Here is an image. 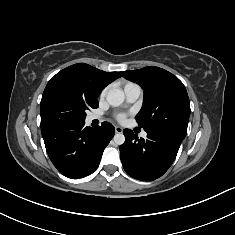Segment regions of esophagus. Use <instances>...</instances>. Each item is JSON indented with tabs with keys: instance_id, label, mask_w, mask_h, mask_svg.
<instances>
[{
	"instance_id": "esophagus-1",
	"label": "esophagus",
	"mask_w": 235,
	"mask_h": 235,
	"mask_svg": "<svg viewBox=\"0 0 235 235\" xmlns=\"http://www.w3.org/2000/svg\"><path fill=\"white\" fill-rule=\"evenodd\" d=\"M123 129L120 126H115L116 133H122Z\"/></svg>"
}]
</instances>
